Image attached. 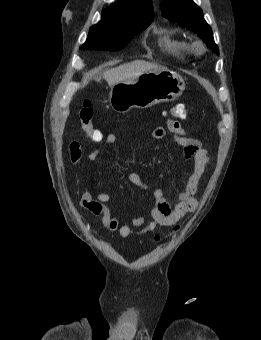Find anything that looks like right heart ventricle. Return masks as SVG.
<instances>
[{
  "mask_svg": "<svg viewBox=\"0 0 261 340\" xmlns=\"http://www.w3.org/2000/svg\"><path fill=\"white\" fill-rule=\"evenodd\" d=\"M159 44L163 51L177 58H183L191 52L189 43L169 30L162 34Z\"/></svg>",
  "mask_w": 261,
  "mask_h": 340,
  "instance_id": "e07e8e85",
  "label": "right heart ventricle"
}]
</instances>
